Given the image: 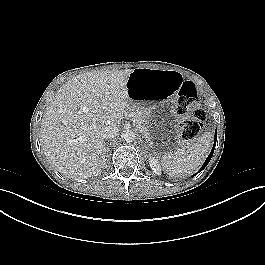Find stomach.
I'll return each instance as SVG.
<instances>
[{"label":"stomach","mask_w":265,"mask_h":265,"mask_svg":"<svg viewBox=\"0 0 265 265\" xmlns=\"http://www.w3.org/2000/svg\"><path fill=\"white\" fill-rule=\"evenodd\" d=\"M180 80L176 71L152 68H136L128 77V100L132 104L147 106L145 122L148 126L144 135L150 146L157 150L167 149L176 138L173 129L161 125L168 115L160 107L176 96ZM158 119L156 127H152L151 122Z\"/></svg>","instance_id":"1"}]
</instances>
